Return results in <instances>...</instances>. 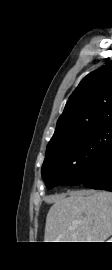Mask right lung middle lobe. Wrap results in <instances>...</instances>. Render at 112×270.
<instances>
[{
  "label": "right lung middle lobe",
  "instance_id": "obj_1",
  "mask_svg": "<svg viewBox=\"0 0 112 270\" xmlns=\"http://www.w3.org/2000/svg\"><path fill=\"white\" fill-rule=\"evenodd\" d=\"M111 145L112 123L110 122L48 148L41 169L47 188L80 184L96 158Z\"/></svg>",
  "mask_w": 112,
  "mask_h": 270
}]
</instances>
